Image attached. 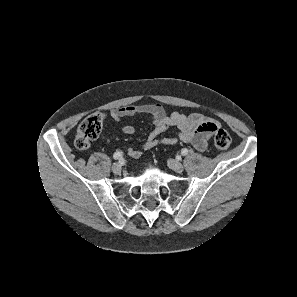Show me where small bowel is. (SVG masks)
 <instances>
[{
    "instance_id": "small-bowel-1",
    "label": "small bowel",
    "mask_w": 297,
    "mask_h": 297,
    "mask_svg": "<svg viewBox=\"0 0 297 297\" xmlns=\"http://www.w3.org/2000/svg\"><path fill=\"white\" fill-rule=\"evenodd\" d=\"M142 114L150 117L154 128L142 143L141 150H129V154L133 158H140L143 151H148L161 145H174L178 141L191 144L197 150L204 151L207 148L208 140L219 129V124L213 118L200 113L186 115L174 111L167 114L160 104H133L116 108L110 112V116L115 122H119L125 117ZM169 128H175L177 134L175 136L160 137ZM121 130L126 135H132L135 132L134 127L131 125H122Z\"/></svg>"
}]
</instances>
